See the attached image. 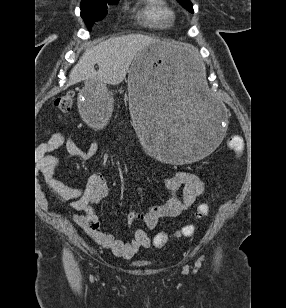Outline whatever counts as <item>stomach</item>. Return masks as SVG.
<instances>
[{
	"label": "stomach",
	"mask_w": 286,
	"mask_h": 308,
	"mask_svg": "<svg viewBox=\"0 0 286 308\" xmlns=\"http://www.w3.org/2000/svg\"><path fill=\"white\" fill-rule=\"evenodd\" d=\"M195 44H146L128 74L133 125H141L146 159H162L165 168L198 164L206 153L226 144L224 100L212 96L205 67ZM110 85L86 81L77 97L85 124L110 129L114 116Z\"/></svg>",
	"instance_id": "0dacf381"
}]
</instances>
